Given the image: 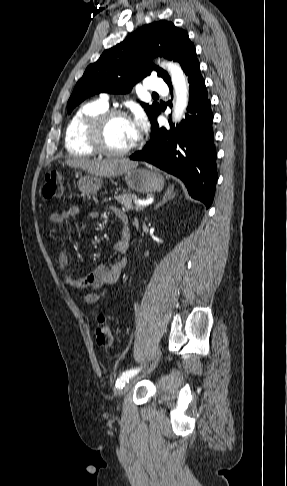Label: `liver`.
Masks as SVG:
<instances>
[{
	"instance_id": "liver-1",
	"label": "liver",
	"mask_w": 287,
	"mask_h": 486,
	"mask_svg": "<svg viewBox=\"0 0 287 486\" xmlns=\"http://www.w3.org/2000/svg\"><path fill=\"white\" fill-rule=\"evenodd\" d=\"M65 163L74 168H79L89 174L100 177H115L122 175L127 170L136 168L138 162L129 159L89 160L86 158H70Z\"/></svg>"
}]
</instances>
